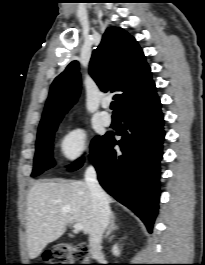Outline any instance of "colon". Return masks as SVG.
I'll return each instance as SVG.
<instances>
[{"label":"colon","mask_w":205,"mask_h":265,"mask_svg":"<svg viewBox=\"0 0 205 265\" xmlns=\"http://www.w3.org/2000/svg\"><path fill=\"white\" fill-rule=\"evenodd\" d=\"M44 265H89V250L84 244H59L46 251Z\"/></svg>","instance_id":"colon-1"}]
</instances>
